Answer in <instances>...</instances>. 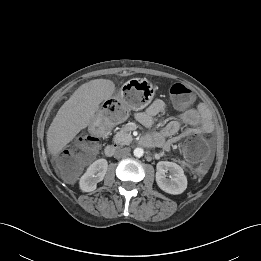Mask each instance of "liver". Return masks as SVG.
<instances>
[{
  "label": "liver",
  "mask_w": 261,
  "mask_h": 261,
  "mask_svg": "<svg viewBox=\"0 0 261 261\" xmlns=\"http://www.w3.org/2000/svg\"><path fill=\"white\" fill-rule=\"evenodd\" d=\"M115 92L108 79H95L82 84L61 106L47 131L48 151L56 156L84 128L91 124L104 100Z\"/></svg>",
  "instance_id": "6515ba94"
}]
</instances>
